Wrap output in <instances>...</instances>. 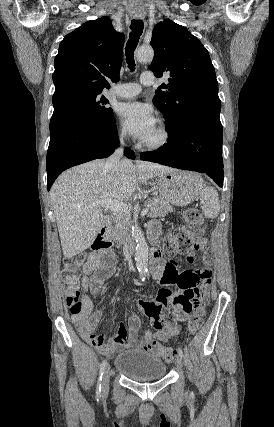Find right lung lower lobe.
<instances>
[{
  "instance_id": "obj_1",
  "label": "right lung lower lobe",
  "mask_w": 274,
  "mask_h": 427,
  "mask_svg": "<svg viewBox=\"0 0 274 427\" xmlns=\"http://www.w3.org/2000/svg\"><path fill=\"white\" fill-rule=\"evenodd\" d=\"M114 117L102 123L75 122L60 127L50 138L47 152L48 190L64 170L97 158L108 157L118 146ZM125 155L134 159L130 149Z\"/></svg>"
}]
</instances>
